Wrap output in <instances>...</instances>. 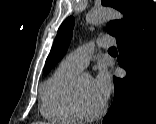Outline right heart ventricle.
<instances>
[{
  "label": "right heart ventricle",
  "mask_w": 156,
  "mask_h": 124,
  "mask_svg": "<svg viewBox=\"0 0 156 124\" xmlns=\"http://www.w3.org/2000/svg\"><path fill=\"white\" fill-rule=\"evenodd\" d=\"M80 69L64 61L46 81L41 94V113L49 122L57 124H74L80 118L71 103V88Z\"/></svg>",
  "instance_id": "right-heart-ventricle-1"
}]
</instances>
